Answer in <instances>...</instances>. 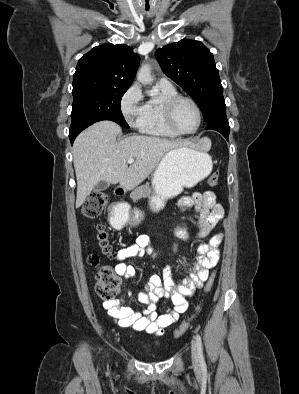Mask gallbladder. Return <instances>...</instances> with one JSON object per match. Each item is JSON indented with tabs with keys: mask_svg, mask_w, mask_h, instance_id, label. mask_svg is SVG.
I'll return each mask as SVG.
<instances>
[{
	"mask_svg": "<svg viewBox=\"0 0 299 394\" xmlns=\"http://www.w3.org/2000/svg\"><path fill=\"white\" fill-rule=\"evenodd\" d=\"M109 187V182L107 181H99V183L94 188V191L101 192L106 190Z\"/></svg>",
	"mask_w": 299,
	"mask_h": 394,
	"instance_id": "gallbladder-1",
	"label": "gallbladder"
}]
</instances>
